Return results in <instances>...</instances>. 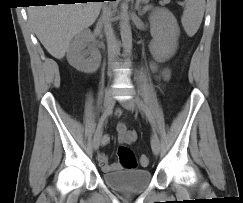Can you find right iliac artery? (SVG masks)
Segmentation results:
<instances>
[{
    "instance_id": "right-iliac-artery-1",
    "label": "right iliac artery",
    "mask_w": 243,
    "mask_h": 203,
    "mask_svg": "<svg viewBox=\"0 0 243 203\" xmlns=\"http://www.w3.org/2000/svg\"><path fill=\"white\" fill-rule=\"evenodd\" d=\"M113 107H114V103L112 104L111 107H109V108L102 114V116L100 117L99 122H98V124H97L96 132L101 131L102 126H103L104 122L106 121V119L108 118V116L111 114Z\"/></svg>"
}]
</instances>
